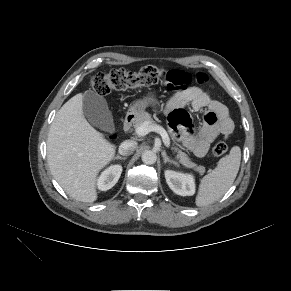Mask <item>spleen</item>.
I'll use <instances>...</instances> for the list:
<instances>
[{
	"mask_svg": "<svg viewBox=\"0 0 291 291\" xmlns=\"http://www.w3.org/2000/svg\"><path fill=\"white\" fill-rule=\"evenodd\" d=\"M240 161L241 149L234 146L218 161L216 168L201 179L195 200L198 207L214 203L229 190L238 174Z\"/></svg>",
	"mask_w": 291,
	"mask_h": 291,
	"instance_id": "spleen-1",
	"label": "spleen"
}]
</instances>
